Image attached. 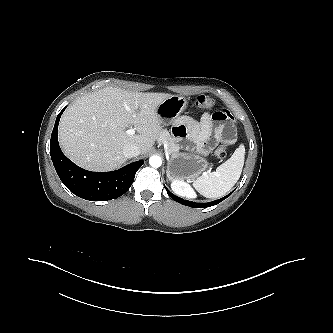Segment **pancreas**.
<instances>
[{
  "mask_svg": "<svg viewBox=\"0 0 333 333\" xmlns=\"http://www.w3.org/2000/svg\"><path fill=\"white\" fill-rule=\"evenodd\" d=\"M158 141L166 144V152L171 156H176L179 153V144L176 139L171 137L167 130H164L158 137Z\"/></svg>",
  "mask_w": 333,
  "mask_h": 333,
  "instance_id": "cf45deb5",
  "label": "pancreas"
}]
</instances>
